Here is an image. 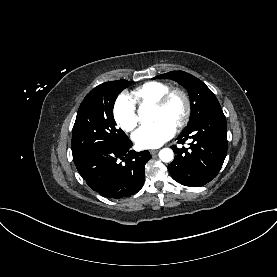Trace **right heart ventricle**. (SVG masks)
I'll use <instances>...</instances> for the list:
<instances>
[{
  "mask_svg": "<svg viewBox=\"0 0 277 277\" xmlns=\"http://www.w3.org/2000/svg\"><path fill=\"white\" fill-rule=\"evenodd\" d=\"M169 89V85L164 82L150 81L135 88L131 97L140 106L153 105Z\"/></svg>",
  "mask_w": 277,
  "mask_h": 277,
  "instance_id": "obj_1",
  "label": "right heart ventricle"
}]
</instances>
